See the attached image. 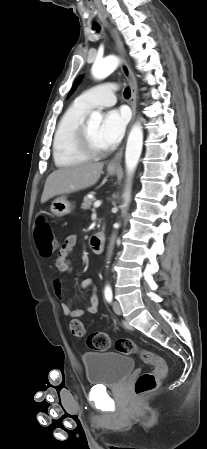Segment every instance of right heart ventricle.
<instances>
[{
    "label": "right heart ventricle",
    "mask_w": 207,
    "mask_h": 449,
    "mask_svg": "<svg viewBox=\"0 0 207 449\" xmlns=\"http://www.w3.org/2000/svg\"><path fill=\"white\" fill-rule=\"evenodd\" d=\"M90 109L74 104L62 115L53 137L52 153L57 167L80 164L88 158L75 145L76 132Z\"/></svg>",
    "instance_id": "e07e8e85"
}]
</instances>
